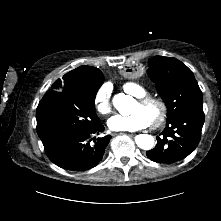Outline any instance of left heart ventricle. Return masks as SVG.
Instances as JSON below:
<instances>
[{
    "instance_id": "b2bd125f",
    "label": "left heart ventricle",
    "mask_w": 221,
    "mask_h": 221,
    "mask_svg": "<svg viewBox=\"0 0 221 221\" xmlns=\"http://www.w3.org/2000/svg\"><path fill=\"white\" fill-rule=\"evenodd\" d=\"M140 111L149 119L150 123L157 119L160 109L156 104L141 105L138 102L132 108V112Z\"/></svg>"
}]
</instances>
